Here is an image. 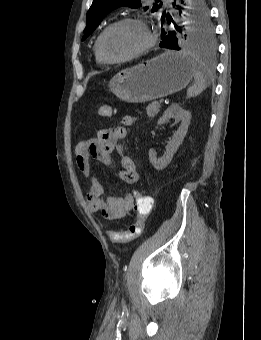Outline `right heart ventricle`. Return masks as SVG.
<instances>
[{
	"mask_svg": "<svg viewBox=\"0 0 261 340\" xmlns=\"http://www.w3.org/2000/svg\"><path fill=\"white\" fill-rule=\"evenodd\" d=\"M94 53H95V58H96L97 63H99V64H106L107 63L99 56V54L96 50V42H95V45H94Z\"/></svg>",
	"mask_w": 261,
	"mask_h": 340,
	"instance_id": "1",
	"label": "right heart ventricle"
}]
</instances>
